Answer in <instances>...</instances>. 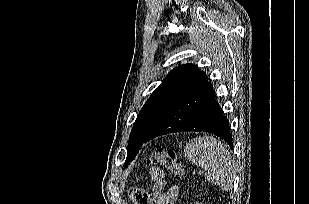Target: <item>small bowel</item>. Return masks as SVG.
Masks as SVG:
<instances>
[{"instance_id": "c3829d8e", "label": "small bowel", "mask_w": 309, "mask_h": 204, "mask_svg": "<svg viewBox=\"0 0 309 204\" xmlns=\"http://www.w3.org/2000/svg\"><path fill=\"white\" fill-rule=\"evenodd\" d=\"M148 175L153 183L151 194L148 195L143 190L136 188L130 193L131 199L137 201L138 196L142 195L148 198L147 204H175L179 194V189L177 186H172L168 191H164V187L167 183L164 170L159 167H151L148 170Z\"/></svg>"}]
</instances>
